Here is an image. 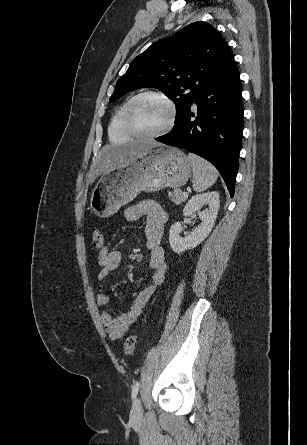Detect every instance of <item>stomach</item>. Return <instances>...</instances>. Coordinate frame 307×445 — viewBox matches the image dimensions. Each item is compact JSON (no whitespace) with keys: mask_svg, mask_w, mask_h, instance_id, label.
I'll return each mask as SVG.
<instances>
[{"mask_svg":"<svg viewBox=\"0 0 307 445\" xmlns=\"http://www.w3.org/2000/svg\"><path fill=\"white\" fill-rule=\"evenodd\" d=\"M191 170L190 158L176 146L145 148L132 162L103 172L92 192L90 206L97 216H112L142 190L155 192L165 186H183Z\"/></svg>","mask_w":307,"mask_h":445,"instance_id":"1","label":"stomach"}]
</instances>
